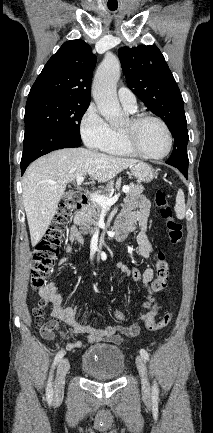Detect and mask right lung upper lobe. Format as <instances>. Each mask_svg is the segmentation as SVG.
Listing matches in <instances>:
<instances>
[{
	"mask_svg": "<svg viewBox=\"0 0 213 433\" xmlns=\"http://www.w3.org/2000/svg\"><path fill=\"white\" fill-rule=\"evenodd\" d=\"M96 56L81 39L64 43L46 63L28 98L54 97L91 101V78Z\"/></svg>",
	"mask_w": 213,
	"mask_h": 433,
	"instance_id": "cb5924a9",
	"label": "right lung upper lobe"
}]
</instances>
